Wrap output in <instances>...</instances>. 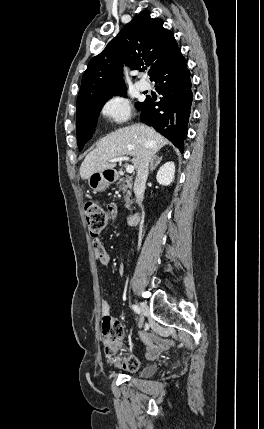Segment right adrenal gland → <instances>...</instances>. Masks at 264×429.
I'll use <instances>...</instances> for the list:
<instances>
[{
	"instance_id": "1",
	"label": "right adrenal gland",
	"mask_w": 264,
	"mask_h": 429,
	"mask_svg": "<svg viewBox=\"0 0 264 429\" xmlns=\"http://www.w3.org/2000/svg\"><path fill=\"white\" fill-rule=\"evenodd\" d=\"M161 161L162 156L159 157L157 155H154L150 161V172H153V170H155V168L160 164Z\"/></svg>"
}]
</instances>
